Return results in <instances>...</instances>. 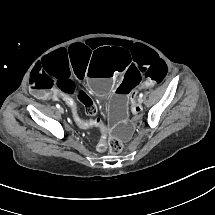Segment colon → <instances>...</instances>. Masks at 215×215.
Returning <instances> with one entry per match:
<instances>
[{
    "label": "colon",
    "mask_w": 215,
    "mask_h": 215,
    "mask_svg": "<svg viewBox=\"0 0 215 215\" xmlns=\"http://www.w3.org/2000/svg\"><path fill=\"white\" fill-rule=\"evenodd\" d=\"M82 101L84 103L86 114L91 116L98 114L99 110H98L97 104L94 101L83 99V98H82ZM109 148L113 152H119L122 149V145L119 142V140H112L109 143Z\"/></svg>",
    "instance_id": "5ec220e1"
}]
</instances>
